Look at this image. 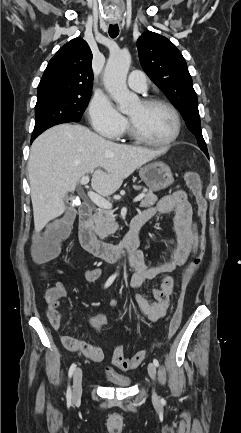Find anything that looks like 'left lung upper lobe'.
I'll list each match as a JSON object with an SVG mask.
<instances>
[{
    "label": "left lung upper lobe",
    "mask_w": 241,
    "mask_h": 433,
    "mask_svg": "<svg viewBox=\"0 0 241 433\" xmlns=\"http://www.w3.org/2000/svg\"><path fill=\"white\" fill-rule=\"evenodd\" d=\"M137 48L144 71L179 108L200 149L207 151L201 131L198 98L181 52L166 37L151 31L139 37Z\"/></svg>",
    "instance_id": "obj_1"
}]
</instances>
